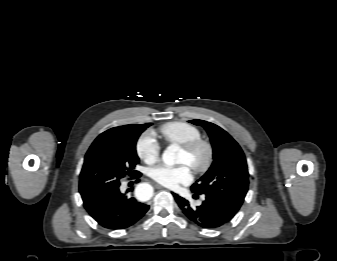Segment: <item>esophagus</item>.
<instances>
[{
	"instance_id": "obj_1",
	"label": "esophagus",
	"mask_w": 337,
	"mask_h": 261,
	"mask_svg": "<svg viewBox=\"0 0 337 261\" xmlns=\"http://www.w3.org/2000/svg\"><path fill=\"white\" fill-rule=\"evenodd\" d=\"M154 186H155V188L156 189H159V190H162V189H164V187H162L161 185H159V184H154Z\"/></svg>"
}]
</instances>
